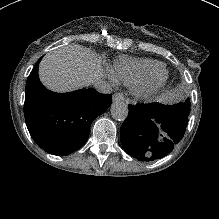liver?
Wrapping results in <instances>:
<instances>
[{
    "label": "liver",
    "mask_w": 219,
    "mask_h": 219,
    "mask_svg": "<svg viewBox=\"0 0 219 219\" xmlns=\"http://www.w3.org/2000/svg\"><path fill=\"white\" fill-rule=\"evenodd\" d=\"M100 76L97 57L85 48L57 49L46 55L39 66L41 82L57 92L91 85Z\"/></svg>",
    "instance_id": "liver-1"
}]
</instances>
